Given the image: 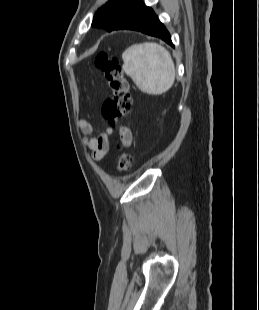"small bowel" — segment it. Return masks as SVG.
<instances>
[{"label":"small bowel","instance_id":"1","mask_svg":"<svg viewBox=\"0 0 259 310\" xmlns=\"http://www.w3.org/2000/svg\"><path fill=\"white\" fill-rule=\"evenodd\" d=\"M78 127L84 134H86V137L83 139L85 147L91 152V155L95 160H101L108 152L109 137L112 134V129L105 128L100 135L94 136L92 134L93 128L91 124L84 119L78 121ZM120 137L125 146H131L133 136L129 128H122L120 131Z\"/></svg>","mask_w":259,"mask_h":310}]
</instances>
